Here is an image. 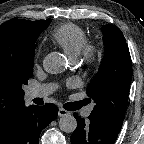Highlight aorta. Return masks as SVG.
<instances>
[{"label":"aorta","instance_id":"obj_1","mask_svg":"<svg viewBox=\"0 0 144 144\" xmlns=\"http://www.w3.org/2000/svg\"><path fill=\"white\" fill-rule=\"evenodd\" d=\"M44 70L51 74H58L65 69V62L58 52H51L43 60ZM59 127L65 133H73L77 127V121L71 114L63 115L59 120Z\"/></svg>","mask_w":144,"mask_h":144}]
</instances>
